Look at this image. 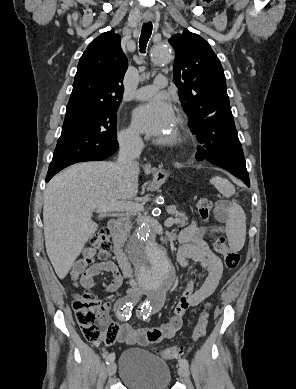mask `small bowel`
<instances>
[{
  "label": "small bowel",
  "mask_w": 296,
  "mask_h": 389,
  "mask_svg": "<svg viewBox=\"0 0 296 389\" xmlns=\"http://www.w3.org/2000/svg\"><path fill=\"white\" fill-rule=\"evenodd\" d=\"M227 214V204L223 201L219 202L216 208L218 221L224 222ZM205 234L206 229L200 227L195 220H192L176 236L180 243L177 254L178 264L185 269L188 267L190 260L199 263L205 272L202 285L197 290H193L191 279L188 276L185 277L184 291L174 308L170 320L154 328L135 327L125 322L119 326L116 338L119 343L146 346L173 337L183 327L187 310L199 306L213 294L223 275V265L220 257L212 251L209 243L205 240ZM95 256V249L90 247L84 249L81 258L75 262L70 272L73 284L76 287L90 288L93 286L94 278L97 275L108 272L112 279L103 287V291L116 293L125 278L122 270L112 261L95 262ZM109 307V303L105 304L106 309Z\"/></svg>",
  "instance_id": "obj_1"
}]
</instances>
